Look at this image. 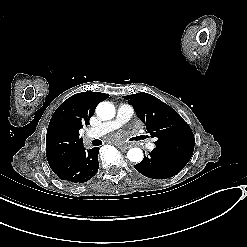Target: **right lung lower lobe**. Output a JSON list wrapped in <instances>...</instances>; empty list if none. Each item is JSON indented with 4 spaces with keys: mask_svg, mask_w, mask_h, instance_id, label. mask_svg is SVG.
I'll return each instance as SVG.
<instances>
[{
    "mask_svg": "<svg viewBox=\"0 0 247 247\" xmlns=\"http://www.w3.org/2000/svg\"><path fill=\"white\" fill-rule=\"evenodd\" d=\"M98 152V147L86 150L81 144L49 166L61 180L84 183L98 171Z\"/></svg>",
    "mask_w": 247,
    "mask_h": 247,
    "instance_id": "98d812e1",
    "label": "right lung lower lobe"
}]
</instances>
